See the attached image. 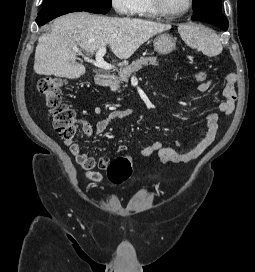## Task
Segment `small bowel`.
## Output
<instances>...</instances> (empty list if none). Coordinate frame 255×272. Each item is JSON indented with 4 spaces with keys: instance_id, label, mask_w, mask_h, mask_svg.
<instances>
[{
    "instance_id": "c3829d8e",
    "label": "small bowel",
    "mask_w": 255,
    "mask_h": 272,
    "mask_svg": "<svg viewBox=\"0 0 255 272\" xmlns=\"http://www.w3.org/2000/svg\"><path fill=\"white\" fill-rule=\"evenodd\" d=\"M237 81V75L235 73H229L225 78V86L222 90L224 100L219 103V113H213L207 116L206 130L199 141L188 151L181 152L177 148L180 147V143H177L176 147H166L163 145L162 140H156L139 151V155L144 157H150L156 155L160 164H185L191 162L200 157L204 151L213 143L219 128L220 120L224 115H229L234 110L235 102L237 99L235 91V83ZM213 86L212 80H206L203 83H199L197 90L200 93H205ZM134 112V108H125L120 110L111 111L106 117L97 122L95 127H91L89 124L84 123L83 129L85 135L90 138L92 135L103 134L108 127L117 119H123L130 116ZM65 144L69 146V150L74 160L85 171L87 177L94 181L100 182L102 175L95 171V168L100 170L105 169L108 166L109 160L106 158H96L81 150V147L77 143L71 141H65ZM126 145L119 146V150H126Z\"/></svg>"
}]
</instances>
